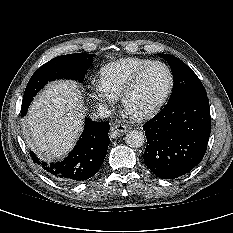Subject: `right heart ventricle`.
I'll use <instances>...</instances> for the list:
<instances>
[{"instance_id":"right-heart-ventricle-1","label":"right heart ventricle","mask_w":233,"mask_h":233,"mask_svg":"<svg viewBox=\"0 0 233 233\" xmlns=\"http://www.w3.org/2000/svg\"><path fill=\"white\" fill-rule=\"evenodd\" d=\"M150 59L129 57L110 62L99 71V84L114 97H120L132 76Z\"/></svg>"}]
</instances>
